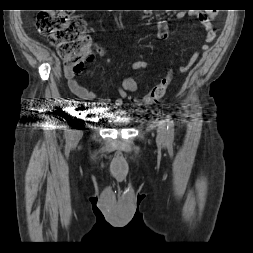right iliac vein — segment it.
Instances as JSON below:
<instances>
[{
    "label": "right iliac vein",
    "mask_w": 253,
    "mask_h": 253,
    "mask_svg": "<svg viewBox=\"0 0 253 253\" xmlns=\"http://www.w3.org/2000/svg\"><path fill=\"white\" fill-rule=\"evenodd\" d=\"M72 134L73 135H71V139L73 140V142H76L80 138V132H77V129L73 128Z\"/></svg>",
    "instance_id": "obj_1"
}]
</instances>
